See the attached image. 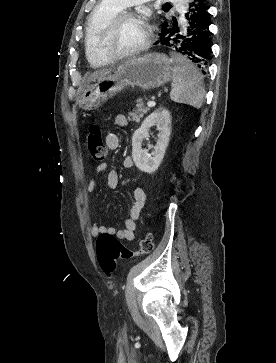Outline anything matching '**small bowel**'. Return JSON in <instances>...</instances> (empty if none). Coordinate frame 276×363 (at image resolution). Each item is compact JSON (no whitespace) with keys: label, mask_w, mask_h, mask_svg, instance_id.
I'll use <instances>...</instances> for the list:
<instances>
[{"label":"small bowel","mask_w":276,"mask_h":363,"mask_svg":"<svg viewBox=\"0 0 276 363\" xmlns=\"http://www.w3.org/2000/svg\"><path fill=\"white\" fill-rule=\"evenodd\" d=\"M114 122L119 127H126L128 125V119L124 114H118ZM106 146L109 150L114 151L118 149L120 140L115 134H108L105 138ZM123 166L126 169H132L134 162L131 157H126L123 161ZM107 165L101 164L97 167V172L106 171ZM119 175L116 171L110 170L106 173V183L111 189H115L119 186ZM96 189V181L91 178L87 183V192L89 194L94 193ZM134 203L128 211V216L125 218L123 227L115 229L113 227H106L98 224H94L90 228L92 236H97L102 233H109L115 235L117 238L125 241H132L135 238V231L137 228V221L140 218L145 206L146 194L141 187H137L133 191Z\"/></svg>","instance_id":"small-bowel-1"}]
</instances>
